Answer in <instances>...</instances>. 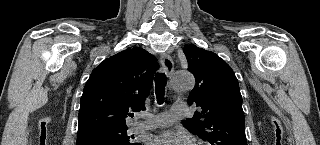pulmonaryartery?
<instances>
[{"mask_svg":"<svg viewBox=\"0 0 320 145\" xmlns=\"http://www.w3.org/2000/svg\"><path fill=\"white\" fill-rule=\"evenodd\" d=\"M187 105L184 102H175L170 111L156 115H142L143 121L136 123L133 129L136 131H144L155 128H163L171 125L173 122L187 115Z\"/></svg>","mask_w":320,"mask_h":145,"instance_id":"1","label":"pulmonary artery"}]
</instances>
